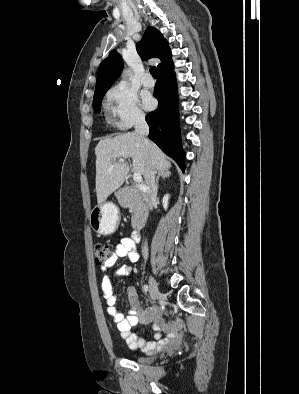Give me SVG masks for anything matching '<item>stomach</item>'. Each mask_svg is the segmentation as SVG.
<instances>
[{"instance_id":"obj_1","label":"stomach","mask_w":299,"mask_h":394,"mask_svg":"<svg viewBox=\"0 0 299 394\" xmlns=\"http://www.w3.org/2000/svg\"><path fill=\"white\" fill-rule=\"evenodd\" d=\"M119 210L111 202H103L95 206L90 213V225L101 235H110L118 227Z\"/></svg>"}]
</instances>
